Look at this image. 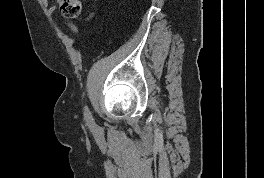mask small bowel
<instances>
[{
    "instance_id": "1",
    "label": "small bowel",
    "mask_w": 264,
    "mask_h": 178,
    "mask_svg": "<svg viewBox=\"0 0 264 178\" xmlns=\"http://www.w3.org/2000/svg\"><path fill=\"white\" fill-rule=\"evenodd\" d=\"M42 2H43L44 5L48 4V0H42ZM48 10H49V12L53 13L55 11V6H49ZM67 24L73 31H77L78 30L77 27L73 23L68 22Z\"/></svg>"
}]
</instances>
